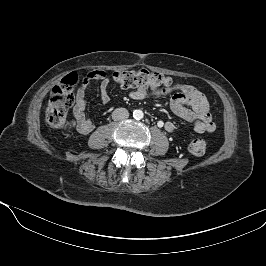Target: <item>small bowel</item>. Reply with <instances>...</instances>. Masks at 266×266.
Segmentation results:
<instances>
[{"label": "small bowel", "mask_w": 266, "mask_h": 266, "mask_svg": "<svg viewBox=\"0 0 266 266\" xmlns=\"http://www.w3.org/2000/svg\"><path fill=\"white\" fill-rule=\"evenodd\" d=\"M88 78L100 81L99 91L103 104L110 101L108 93L109 79L104 71L95 70L88 74ZM172 93L170 104L173 112L180 118L193 123L194 130L197 133L213 132L215 125L209 110V104L206 96L197 88L189 84H180L173 88L155 89L152 91L144 87H138L130 93L134 100H144L150 97H159ZM87 100L85 97L84 86L80 87L76 94L75 105L73 107V116L76 121L77 131L81 134H89L94 129L93 122L87 118L85 110ZM174 124L166 122L164 129L167 132L174 131Z\"/></svg>", "instance_id": "1"}]
</instances>
